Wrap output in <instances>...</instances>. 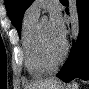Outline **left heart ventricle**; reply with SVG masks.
Masks as SVG:
<instances>
[{
  "label": "left heart ventricle",
  "mask_w": 89,
  "mask_h": 89,
  "mask_svg": "<svg viewBox=\"0 0 89 89\" xmlns=\"http://www.w3.org/2000/svg\"><path fill=\"white\" fill-rule=\"evenodd\" d=\"M42 41L47 54L56 58L61 52L63 42L54 37L48 21L42 22Z\"/></svg>",
  "instance_id": "left-heart-ventricle-1"
}]
</instances>
